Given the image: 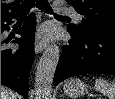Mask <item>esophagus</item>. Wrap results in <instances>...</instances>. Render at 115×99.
Masks as SVG:
<instances>
[{"mask_svg": "<svg viewBox=\"0 0 115 99\" xmlns=\"http://www.w3.org/2000/svg\"><path fill=\"white\" fill-rule=\"evenodd\" d=\"M46 47V43L45 42H41L39 40L36 41L35 43V53H40L42 52Z\"/></svg>", "mask_w": 115, "mask_h": 99, "instance_id": "obj_1", "label": "esophagus"}]
</instances>
